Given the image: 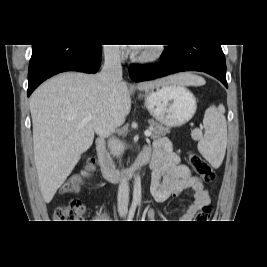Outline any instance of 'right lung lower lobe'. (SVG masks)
Segmentation results:
<instances>
[{"label": "right lung lower lobe", "mask_w": 267, "mask_h": 267, "mask_svg": "<svg viewBox=\"0 0 267 267\" xmlns=\"http://www.w3.org/2000/svg\"><path fill=\"white\" fill-rule=\"evenodd\" d=\"M101 64V45H32L28 72V96L43 81L65 71L96 73Z\"/></svg>", "instance_id": "1"}]
</instances>
